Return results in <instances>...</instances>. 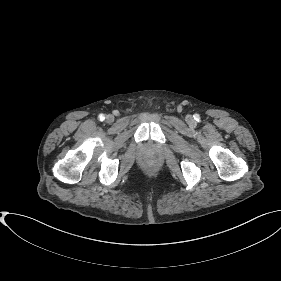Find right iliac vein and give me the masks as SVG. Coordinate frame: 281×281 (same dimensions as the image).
<instances>
[{"label":"right iliac vein","mask_w":281,"mask_h":281,"mask_svg":"<svg viewBox=\"0 0 281 281\" xmlns=\"http://www.w3.org/2000/svg\"><path fill=\"white\" fill-rule=\"evenodd\" d=\"M106 121L108 122V123H111V122H113L114 121V117H113V115H107L106 116Z\"/></svg>","instance_id":"1"}]
</instances>
